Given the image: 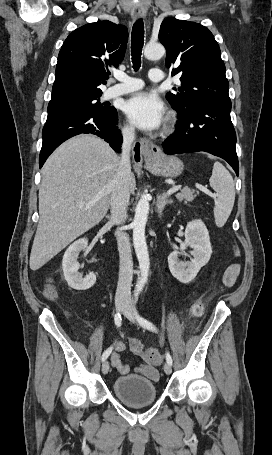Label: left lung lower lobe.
<instances>
[{
  "mask_svg": "<svg viewBox=\"0 0 272 455\" xmlns=\"http://www.w3.org/2000/svg\"><path fill=\"white\" fill-rule=\"evenodd\" d=\"M230 100H205L178 113L176 132L162 147L168 155L205 151L226 160L239 174L236 133L230 118Z\"/></svg>",
  "mask_w": 272,
  "mask_h": 455,
  "instance_id": "0a47b994",
  "label": "left lung lower lobe"
}]
</instances>
